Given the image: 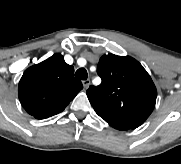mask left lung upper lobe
<instances>
[{"mask_svg": "<svg viewBox=\"0 0 181 164\" xmlns=\"http://www.w3.org/2000/svg\"><path fill=\"white\" fill-rule=\"evenodd\" d=\"M97 73L102 82L91 85L87 97L96 113L107 123L135 129L152 113L156 87L142 65L130 56L104 55Z\"/></svg>", "mask_w": 181, "mask_h": 164, "instance_id": "obj_1", "label": "left lung upper lobe"}]
</instances>
